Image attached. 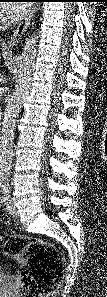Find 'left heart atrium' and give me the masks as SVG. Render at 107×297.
<instances>
[{
	"label": "left heart atrium",
	"mask_w": 107,
	"mask_h": 297,
	"mask_svg": "<svg viewBox=\"0 0 107 297\" xmlns=\"http://www.w3.org/2000/svg\"><path fill=\"white\" fill-rule=\"evenodd\" d=\"M29 11V4L17 3L7 4L2 13L10 21H18Z\"/></svg>",
	"instance_id": "1"
}]
</instances>
